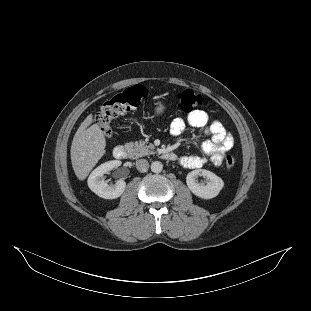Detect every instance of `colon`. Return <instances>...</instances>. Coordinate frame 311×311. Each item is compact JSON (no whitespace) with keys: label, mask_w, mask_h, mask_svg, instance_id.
Returning a JSON list of instances; mask_svg holds the SVG:
<instances>
[{"label":"colon","mask_w":311,"mask_h":311,"mask_svg":"<svg viewBox=\"0 0 311 311\" xmlns=\"http://www.w3.org/2000/svg\"><path fill=\"white\" fill-rule=\"evenodd\" d=\"M147 95L143 86H133L118 93L103 103L96 115V120L104 135L108 138L112 136L111 122L119 116L140 107ZM203 99L201 95L193 90H182L178 95V107L182 112L191 113L201 106ZM236 160L234 156H226V168L232 169Z\"/></svg>","instance_id":"5ec220e1"}]
</instances>
